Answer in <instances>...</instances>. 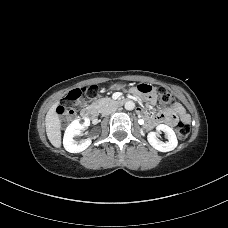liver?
I'll return each mask as SVG.
<instances>
[{
  "label": "liver",
  "mask_w": 228,
  "mask_h": 228,
  "mask_svg": "<svg viewBox=\"0 0 228 228\" xmlns=\"http://www.w3.org/2000/svg\"><path fill=\"white\" fill-rule=\"evenodd\" d=\"M58 103H55L48 110L45 117V125H46V133L51 144L60 148L61 146V124L59 120V116L56 113V108Z\"/></svg>",
  "instance_id": "1"
}]
</instances>
